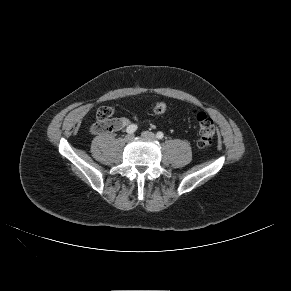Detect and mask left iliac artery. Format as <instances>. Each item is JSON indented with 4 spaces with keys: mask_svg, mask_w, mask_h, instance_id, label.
<instances>
[{
    "mask_svg": "<svg viewBox=\"0 0 291 291\" xmlns=\"http://www.w3.org/2000/svg\"><path fill=\"white\" fill-rule=\"evenodd\" d=\"M156 137H157L158 139H162V138L164 137L163 132H161V131L157 132Z\"/></svg>",
    "mask_w": 291,
    "mask_h": 291,
    "instance_id": "1",
    "label": "left iliac artery"
}]
</instances>
